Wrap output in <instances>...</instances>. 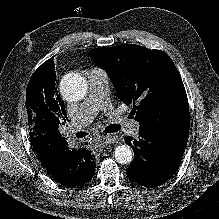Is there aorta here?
Returning <instances> with one entry per match:
<instances>
[{
    "mask_svg": "<svg viewBox=\"0 0 219 219\" xmlns=\"http://www.w3.org/2000/svg\"><path fill=\"white\" fill-rule=\"evenodd\" d=\"M87 87L86 79L75 74L62 79L60 90L67 101H79L85 96ZM114 156L118 163L129 164L133 160V151L130 146L123 144L115 148Z\"/></svg>",
    "mask_w": 219,
    "mask_h": 219,
    "instance_id": "aorta-1",
    "label": "aorta"
}]
</instances>
